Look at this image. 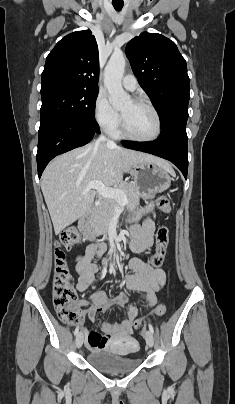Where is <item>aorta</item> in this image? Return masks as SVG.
I'll return each mask as SVG.
<instances>
[{
    "label": "aorta",
    "mask_w": 235,
    "mask_h": 404,
    "mask_svg": "<svg viewBox=\"0 0 235 404\" xmlns=\"http://www.w3.org/2000/svg\"><path fill=\"white\" fill-rule=\"evenodd\" d=\"M126 60L121 53H113L106 65L104 85L109 93V101L115 108H122L131 102L130 96L123 90L121 80Z\"/></svg>",
    "instance_id": "762f6f07"
}]
</instances>
